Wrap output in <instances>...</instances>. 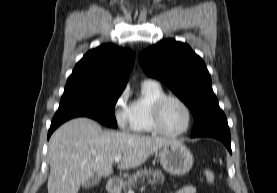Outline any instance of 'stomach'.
<instances>
[{"mask_svg":"<svg viewBox=\"0 0 277 193\" xmlns=\"http://www.w3.org/2000/svg\"><path fill=\"white\" fill-rule=\"evenodd\" d=\"M159 157L164 170L175 176H182L188 173L194 162L192 153L180 141L161 148Z\"/></svg>","mask_w":277,"mask_h":193,"instance_id":"obj_1","label":"stomach"}]
</instances>
